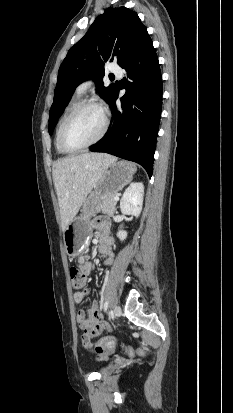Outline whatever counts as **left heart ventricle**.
Masks as SVG:
<instances>
[{
	"label": "left heart ventricle",
	"mask_w": 233,
	"mask_h": 413,
	"mask_svg": "<svg viewBox=\"0 0 233 413\" xmlns=\"http://www.w3.org/2000/svg\"><path fill=\"white\" fill-rule=\"evenodd\" d=\"M103 113L97 107L80 111L66 130L65 140L71 147H79L94 140L101 132Z\"/></svg>",
	"instance_id": "left-heart-ventricle-1"
}]
</instances>
